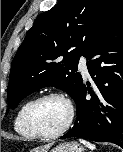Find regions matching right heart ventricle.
Here are the masks:
<instances>
[{
  "label": "right heart ventricle",
  "instance_id": "e07e8e85",
  "mask_svg": "<svg viewBox=\"0 0 123 152\" xmlns=\"http://www.w3.org/2000/svg\"><path fill=\"white\" fill-rule=\"evenodd\" d=\"M33 100L25 101L17 110L14 117L13 126L16 133L25 139H34L37 136L33 134L26 124V112Z\"/></svg>",
  "mask_w": 123,
  "mask_h": 152
}]
</instances>
